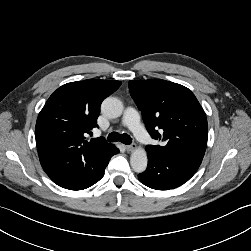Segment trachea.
<instances>
[{"instance_id":"3493384b","label":"trachea","mask_w":251,"mask_h":251,"mask_svg":"<svg viewBox=\"0 0 251 251\" xmlns=\"http://www.w3.org/2000/svg\"><path fill=\"white\" fill-rule=\"evenodd\" d=\"M107 140L109 142H118L119 140L126 145L132 143V138L128 134H119L118 132H112L108 135Z\"/></svg>"}]
</instances>
